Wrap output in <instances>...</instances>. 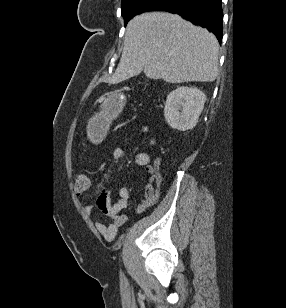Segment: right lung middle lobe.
I'll list each match as a JSON object with an SVG mask.
<instances>
[{"instance_id": "right-lung-middle-lobe-1", "label": "right lung middle lobe", "mask_w": 286, "mask_h": 308, "mask_svg": "<svg viewBox=\"0 0 286 308\" xmlns=\"http://www.w3.org/2000/svg\"><path fill=\"white\" fill-rule=\"evenodd\" d=\"M168 0H123L121 3V15L125 26L128 21L137 14L153 11Z\"/></svg>"}]
</instances>
